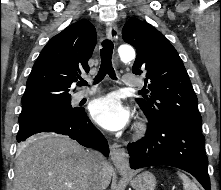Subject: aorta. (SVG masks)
Returning <instances> with one entry per match:
<instances>
[{
    "mask_svg": "<svg viewBox=\"0 0 221 190\" xmlns=\"http://www.w3.org/2000/svg\"><path fill=\"white\" fill-rule=\"evenodd\" d=\"M118 53L124 62L132 61L135 58V51L130 45H121L118 48Z\"/></svg>",
    "mask_w": 221,
    "mask_h": 190,
    "instance_id": "obj_1",
    "label": "aorta"
}]
</instances>
